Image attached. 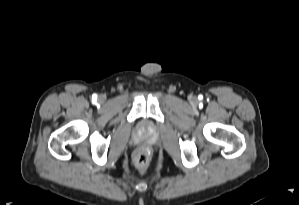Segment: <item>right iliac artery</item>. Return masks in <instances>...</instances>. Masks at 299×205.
Returning <instances> with one entry per match:
<instances>
[{
    "instance_id": "right-iliac-artery-1",
    "label": "right iliac artery",
    "mask_w": 299,
    "mask_h": 205,
    "mask_svg": "<svg viewBox=\"0 0 299 205\" xmlns=\"http://www.w3.org/2000/svg\"><path fill=\"white\" fill-rule=\"evenodd\" d=\"M92 98H93V100H96V99H97V96H96V95H93Z\"/></svg>"
}]
</instances>
